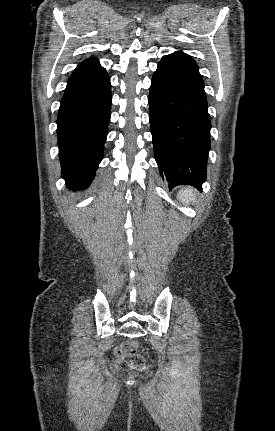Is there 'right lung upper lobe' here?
Instances as JSON below:
<instances>
[{
	"instance_id": "right-lung-upper-lobe-1",
	"label": "right lung upper lobe",
	"mask_w": 275,
	"mask_h": 431,
	"mask_svg": "<svg viewBox=\"0 0 275 431\" xmlns=\"http://www.w3.org/2000/svg\"><path fill=\"white\" fill-rule=\"evenodd\" d=\"M102 69L104 68L100 66L97 58H89L77 66V68L73 71L68 81H73V80L88 76Z\"/></svg>"
}]
</instances>
